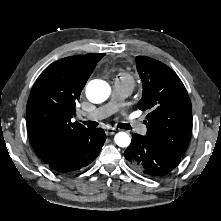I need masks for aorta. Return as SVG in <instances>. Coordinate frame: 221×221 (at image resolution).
<instances>
[{
	"instance_id": "aorta-1",
	"label": "aorta",
	"mask_w": 221,
	"mask_h": 221,
	"mask_svg": "<svg viewBox=\"0 0 221 221\" xmlns=\"http://www.w3.org/2000/svg\"><path fill=\"white\" fill-rule=\"evenodd\" d=\"M111 88L109 84L103 80H92L86 87V96L92 103H102L109 97ZM115 143L119 147H128L131 138L126 132H119L114 137Z\"/></svg>"
}]
</instances>
